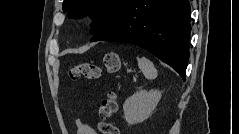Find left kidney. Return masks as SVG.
Segmentation results:
<instances>
[{
    "label": "left kidney",
    "instance_id": "1",
    "mask_svg": "<svg viewBox=\"0 0 239 134\" xmlns=\"http://www.w3.org/2000/svg\"><path fill=\"white\" fill-rule=\"evenodd\" d=\"M162 92L158 90H139L127 98L124 105V118L129 125L141 123L148 119L159 100Z\"/></svg>",
    "mask_w": 239,
    "mask_h": 134
}]
</instances>
